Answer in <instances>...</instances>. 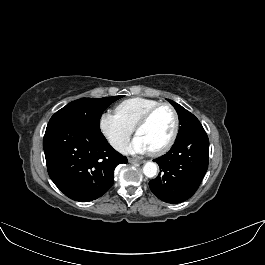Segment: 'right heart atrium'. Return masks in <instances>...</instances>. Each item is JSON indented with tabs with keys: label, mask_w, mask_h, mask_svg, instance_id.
I'll list each match as a JSON object with an SVG mask.
<instances>
[{
	"label": "right heart atrium",
	"mask_w": 265,
	"mask_h": 265,
	"mask_svg": "<svg viewBox=\"0 0 265 265\" xmlns=\"http://www.w3.org/2000/svg\"><path fill=\"white\" fill-rule=\"evenodd\" d=\"M100 128L111 146L122 151L133 132V128L124 123L116 114L104 112L100 117Z\"/></svg>",
	"instance_id": "1"
}]
</instances>
